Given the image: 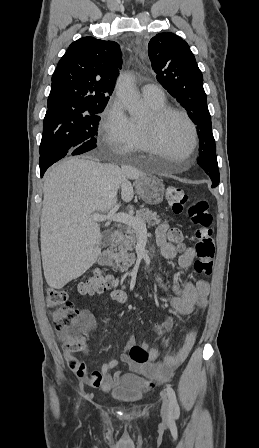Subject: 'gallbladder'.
Returning <instances> with one entry per match:
<instances>
[{
    "label": "gallbladder",
    "instance_id": "1",
    "mask_svg": "<svg viewBox=\"0 0 259 448\" xmlns=\"http://www.w3.org/2000/svg\"><path fill=\"white\" fill-rule=\"evenodd\" d=\"M140 168L141 170H146L145 164H140ZM112 236L113 234L111 230H104V232H102L100 244L103 248H106V246H110V244H112Z\"/></svg>",
    "mask_w": 259,
    "mask_h": 448
}]
</instances>
